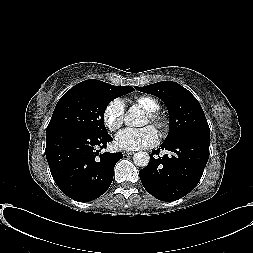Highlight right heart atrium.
Returning <instances> with one entry per match:
<instances>
[{
    "mask_svg": "<svg viewBox=\"0 0 253 253\" xmlns=\"http://www.w3.org/2000/svg\"><path fill=\"white\" fill-rule=\"evenodd\" d=\"M102 118L109 131L115 132L120 130L125 119L123 101L119 98L111 100L104 108Z\"/></svg>",
    "mask_w": 253,
    "mask_h": 253,
    "instance_id": "d8ad5b80",
    "label": "right heart atrium"
}]
</instances>
